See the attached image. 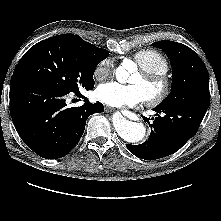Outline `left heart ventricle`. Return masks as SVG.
I'll return each instance as SVG.
<instances>
[{
  "instance_id": "1",
  "label": "left heart ventricle",
  "mask_w": 221,
  "mask_h": 221,
  "mask_svg": "<svg viewBox=\"0 0 221 221\" xmlns=\"http://www.w3.org/2000/svg\"><path fill=\"white\" fill-rule=\"evenodd\" d=\"M129 82H130L131 84L139 85V86L143 89V91H144L146 97L149 96V95H151V94H154V93L157 92L158 89H159L158 85L146 81V80L141 76L140 73L134 74V75L130 78Z\"/></svg>"
}]
</instances>
